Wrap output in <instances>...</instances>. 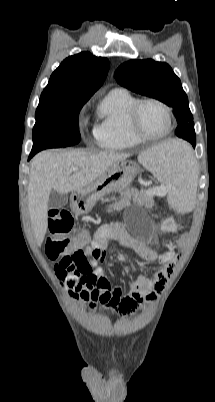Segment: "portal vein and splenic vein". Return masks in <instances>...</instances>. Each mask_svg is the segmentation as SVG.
<instances>
[{"mask_svg":"<svg viewBox=\"0 0 215 402\" xmlns=\"http://www.w3.org/2000/svg\"><path fill=\"white\" fill-rule=\"evenodd\" d=\"M78 170H79L78 168H72V169L70 170V172H77ZM163 192L166 193L167 190L165 189Z\"/></svg>","mask_w":215,"mask_h":402,"instance_id":"portal-vein-and-splenic-vein-1","label":"portal vein and splenic vein"}]
</instances>
